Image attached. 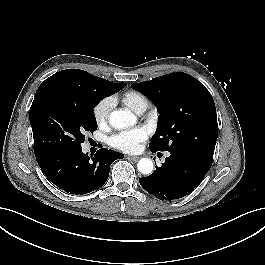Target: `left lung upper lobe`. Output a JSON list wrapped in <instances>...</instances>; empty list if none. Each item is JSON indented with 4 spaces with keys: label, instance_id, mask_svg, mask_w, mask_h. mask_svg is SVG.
I'll return each instance as SVG.
<instances>
[{
    "label": "left lung upper lobe",
    "instance_id": "left-lung-upper-lobe-1",
    "mask_svg": "<svg viewBox=\"0 0 265 265\" xmlns=\"http://www.w3.org/2000/svg\"><path fill=\"white\" fill-rule=\"evenodd\" d=\"M131 87L151 99L160 113L151 151L189 153L212 163L217 115L214 100L202 83L177 72Z\"/></svg>",
    "mask_w": 265,
    "mask_h": 265
}]
</instances>
